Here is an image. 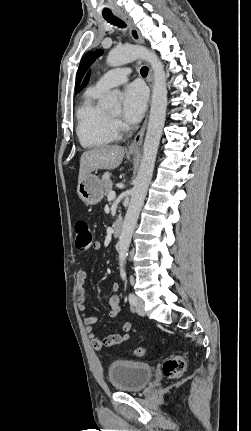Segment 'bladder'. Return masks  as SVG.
<instances>
[{"label":"bladder","mask_w":251,"mask_h":431,"mask_svg":"<svg viewBox=\"0 0 251 431\" xmlns=\"http://www.w3.org/2000/svg\"><path fill=\"white\" fill-rule=\"evenodd\" d=\"M152 377V366L143 362L117 360L108 368L110 384L121 392L140 391L150 383Z\"/></svg>","instance_id":"31cf9c89"}]
</instances>
